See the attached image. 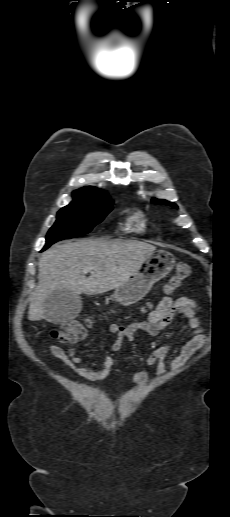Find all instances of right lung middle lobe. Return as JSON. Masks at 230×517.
Listing matches in <instances>:
<instances>
[{
    "mask_svg": "<svg viewBox=\"0 0 230 517\" xmlns=\"http://www.w3.org/2000/svg\"><path fill=\"white\" fill-rule=\"evenodd\" d=\"M109 197L71 202L57 213V220L46 236V250L51 244L89 233L112 210ZM42 250V251H43Z\"/></svg>",
    "mask_w": 230,
    "mask_h": 517,
    "instance_id": "obj_1",
    "label": "right lung middle lobe"
}]
</instances>
